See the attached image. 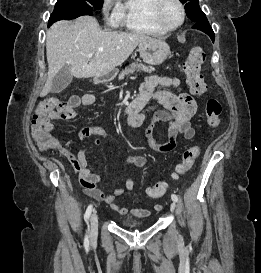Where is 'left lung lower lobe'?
<instances>
[{
  "mask_svg": "<svg viewBox=\"0 0 261 273\" xmlns=\"http://www.w3.org/2000/svg\"><path fill=\"white\" fill-rule=\"evenodd\" d=\"M193 28L201 30V31L205 32L206 34H208L210 36V38L212 39V41L214 42L215 35L212 30V27L210 26V24L206 18L196 22L193 25Z\"/></svg>",
  "mask_w": 261,
  "mask_h": 273,
  "instance_id": "left-lung-lower-lobe-1",
  "label": "left lung lower lobe"
}]
</instances>
